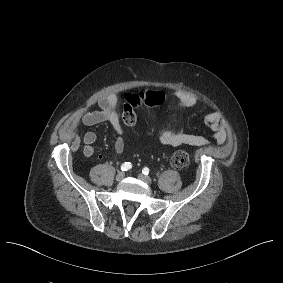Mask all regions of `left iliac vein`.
I'll use <instances>...</instances> for the list:
<instances>
[{"instance_id": "left-iliac-vein-1", "label": "left iliac vein", "mask_w": 283, "mask_h": 283, "mask_svg": "<svg viewBox=\"0 0 283 283\" xmlns=\"http://www.w3.org/2000/svg\"><path fill=\"white\" fill-rule=\"evenodd\" d=\"M138 178L145 182L146 184L150 185L152 183V180L150 179V177L143 175V174H138Z\"/></svg>"}]
</instances>
